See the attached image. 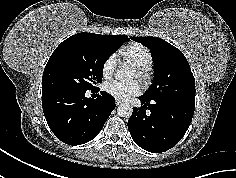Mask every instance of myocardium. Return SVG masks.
Wrapping results in <instances>:
<instances>
[{
    "instance_id": "obj_1",
    "label": "myocardium",
    "mask_w": 236,
    "mask_h": 178,
    "mask_svg": "<svg viewBox=\"0 0 236 178\" xmlns=\"http://www.w3.org/2000/svg\"><path fill=\"white\" fill-rule=\"evenodd\" d=\"M136 77L141 79L143 82H147L150 79L149 68L143 66H135Z\"/></svg>"
}]
</instances>
